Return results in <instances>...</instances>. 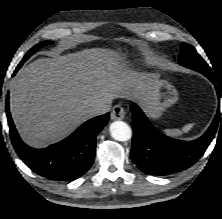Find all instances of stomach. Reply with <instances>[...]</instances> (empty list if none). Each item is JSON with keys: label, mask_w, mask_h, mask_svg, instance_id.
<instances>
[{"label": "stomach", "mask_w": 222, "mask_h": 219, "mask_svg": "<svg viewBox=\"0 0 222 219\" xmlns=\"http://www.w3.org/2000/svg\"><path fill=\"white\" fill-rule=\"evenodd\" d=\"M178 100L176 88L167 80L155 76L153 83L146 94V100L142 106L146 113L156 119Z\"/></svg>", "instance_id": "obj_1"}]
</instances>
